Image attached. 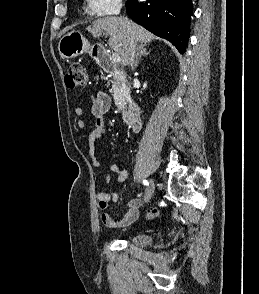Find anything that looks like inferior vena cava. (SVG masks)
Returning a JSON list of instances; mask_svg holds the SVG:
<instances>
[{"instance_id": "602c4592", "label": "inferior vena cava", "mask_w": 259, "mask_h": 294, "mask_svg": "<svg viewBox=\"0 0 259 294\" xmlns=\"http://www.w3.org/2000/svg\"><path fill=\"white\" fill-rule=\"evenodd\" d=\"M119 10H120V7L118 9V13H119ZM123 20L126 26L129 27V20L127 18H123ZM136 52H137L136 43L134 41H131L129 44V61L131 65H133L134 63V57L136 55Z\"/></svg>"}]
</instances>
